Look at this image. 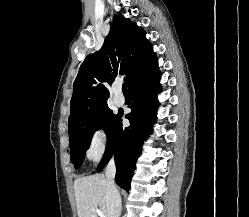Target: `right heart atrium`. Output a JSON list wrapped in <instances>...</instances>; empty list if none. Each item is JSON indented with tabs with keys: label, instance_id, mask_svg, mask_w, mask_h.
I'll list each match as a JSON object with an SVG mask.
<instances>
[{
	"label": "right heart atrium",
	"instance_id": "right-heart-atrium-1",
	"mask_svg": "<svg viewBox=\"0 0 249 217\" xmlns=\"http://www.w3.org/2000/svg\"><path fill=\"white\" fill-rule=\"evenodd\" d=\"M107 134L101 127L96 128L90 135L86 155L90 160H98L105 149Z\"/></svg>",
	"mask_w": 249,
	"mask_h": 217
}]
</instances>
